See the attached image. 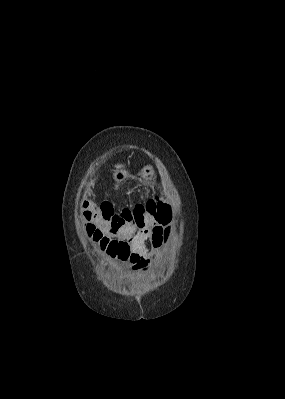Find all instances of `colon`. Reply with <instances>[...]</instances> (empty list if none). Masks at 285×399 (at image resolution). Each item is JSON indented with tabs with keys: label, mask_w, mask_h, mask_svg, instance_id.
<instances>
[{
	"label": "colon",
	"mask_w": 285,
	"mask_h": 399,
	"mask_svg": "<svg viewBox=\"0 0 285 399\" xmlns=\"http://www.w3.org/2000/svg\"><path fill=\"white\" fill-rule=\"evenodd\" d=\"M133 209L141 208L138 225H142L144 214H155V223L157 225H167L170 220L169 206L158 199H148L143 202L132 201L128 204ZM82 208L88 213L90 219L97 220L102 224V228L97 227L91 221L84 225V229L89 233L94 241L98 242L105 252L113 259L121 261H130L134 268L145 270L147 260L132 255L129 245L120 239H112L110 233L116 231L122 224L124 218L119 213L114 212L111 204L104 202L97 206L89 197L82 200Z\"/></svg>",
	"instance_id": "1"
}]
</instances>
